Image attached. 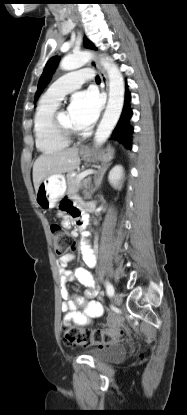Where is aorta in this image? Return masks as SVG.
Instances as JSON below:
<instances>
[{"label": "aorta", "instance_id": "1", "mask_svg": "<svg viewBox=\"0 0 187 415\" xmlns=\"http://www.w3.org/2000/svg\"><path fill=\"white\" fill-rule=\"evenodd\" d=\"M93 54L89 51H82L64 57L60 63L62 70L70 71L84 66ZM101 65L105 68L109 78V99L103 118L96 130L94 140L97 145L103 144L116 126L124 105L125 85L124 79L117 65L100 59Z\"/></svg>", "mask_w": 187, "mask_h": 415}]
</instances>
